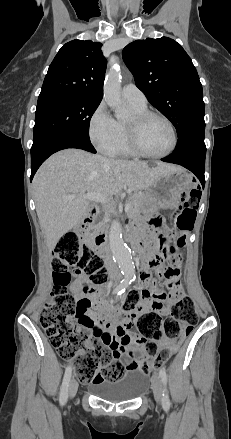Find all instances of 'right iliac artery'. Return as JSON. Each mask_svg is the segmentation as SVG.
Returning <instances> with one entry per match:
<instances>
[{
	"mask_svg": "<svg viewBox=\"0 0 231 439\" xmlns=\"http://www.w3.org/2000/svg\"><path fill=\"white\" fill-rule=\"evenodd\" d=\"M131 283L130 279H123L121 281V283L119 284V286H117L115 288V290L113 291L114 294L120 295L122 293L125 292L126 288L128 287V285ZM71 374H72V367L68 366L66 368L65 374H64V378H63V382H62V386L60 389V404L64 405L65 402L67 401L68 398V391H69V383H70V379H71Z\"/></svg>",
	"mask_w": 231,
	"mask_h": 439,
	"instance_id": "1",
	"label": "right iliac artery"
}]
</instances>
